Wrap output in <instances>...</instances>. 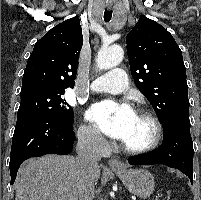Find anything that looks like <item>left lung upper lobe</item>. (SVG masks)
I'll use <instances>...</instances> for the list:
<instances>
[{"mask_svg": "<svg viewBox=\"0 0 201 200\" xmlns=\"http://www.w3.org/2000/svg\"><path fill=\"white\" fill-rule=\"evenodd\" d=\"M132 77L162 126L189 119L188 86L182 52L160 24L140 17L126 37Z\"/></svg>", "mask_w": 201, "mask_h": 200, "instance_id": "obj_1", "label": "left lung upper lobe"}]
</instances>
